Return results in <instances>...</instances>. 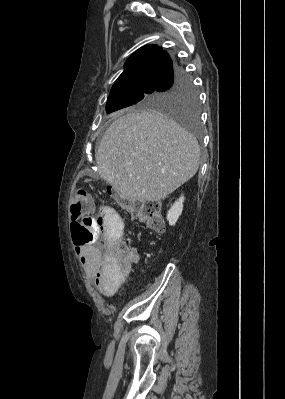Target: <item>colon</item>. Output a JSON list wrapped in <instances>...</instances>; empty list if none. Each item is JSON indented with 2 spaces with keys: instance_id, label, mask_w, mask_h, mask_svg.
<instances>
[{
  "instance_id": "1",
  "label": "colon",
  "mask_w": 285,
  "mask_h": 399,
  "mask_svg": "<svg viewBox=\"0 0 285 399\" xmlns=\"http://www.w3.org/2000/svg\"><path fill=\"white\" fill-rule=\"evenodd\" d=\"M110 194L118 197L117 192L112 191ZM122 205L130 214L136 215L141 221L149 224L151 228L163 230L164 219L158 201L149 200L138 204L122 200ZM92 206L90 193L84 188H76L70 205V212L72 213L70 227L75 243L84 244L98 240L96 233L86 228L93 220L91 216ZM82 231L86 233L85 237H81L80 234ZM107 249V254L113 259L118 273L122 276L128 275L134 261V256L130 248L116 239Z\"/></svg>"
}]
</instances>
